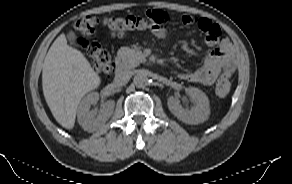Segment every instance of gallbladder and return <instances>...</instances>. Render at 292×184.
Returning a JSON list of instances; mask_svg holds the SVG:
<instances>
[{
  "instance_id": "obj_1",
  "label": "gallbladder",
  "mask_w": 292,
  "mask_h": 184,
  "mask_svg": "<svg viewBox=\"0 0 292 184\" xmlns=\"http://www.w3.org/2000/svg\"><path fill=\"white\" fill-rule=\"evenodd\" d=\"M67 39L70 41L72 45H76V36L73 32H69L67 34Z\"/></svg>"
}]
</instances>
